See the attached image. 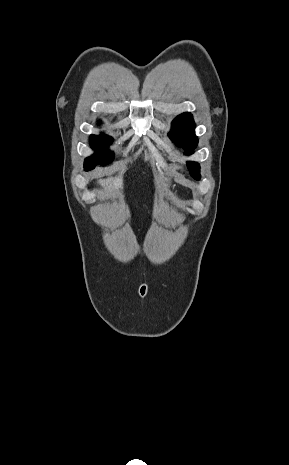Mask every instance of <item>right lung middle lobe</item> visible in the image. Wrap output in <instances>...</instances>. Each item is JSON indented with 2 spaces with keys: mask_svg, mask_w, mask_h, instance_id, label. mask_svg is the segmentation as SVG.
I'll list each match as a JSON object with an SVG mask.
<instances>
[{
  "mask_svg": "<svg viewBox=\"0 0 289 465\" xmlns=\"http://www.w3.org/2000/svg\"><path fill=\"white\" fill-rule=\"evenodd\" d=\"M112 143V138L105 134L100 136L91 135L90 145L95 148L97 153L87 157L84 162V169L86 171L93 169L96 165H106L113 161L114 154L107 150V145Z\"/></svg>",
  "mask_w": 289,
  "mask_h": 465,
  "instance_id": "1",
  "label": "right lung middle lobe"
}]
</instances>
